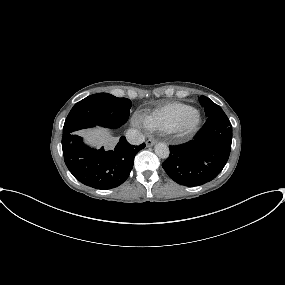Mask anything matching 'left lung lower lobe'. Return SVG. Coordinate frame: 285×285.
I'll return each instance as SVG.
<instances>
[{
	"instance_id": "0a47b994",
	"label": "left lung lower lobe",
	"mask_w": 285,
	"mask_h": 285,
	"mask_svg": "<svg viewBox=\"0 0 285 285\" xmlns=\"http://www.w3.org/2000/svg\"><path fill=\"white\" fill-rule=\"evenodd\" d=\"M232 143V126L226 114L208 117L193 140L169 146L162 163L168 176L184 186H200L213 180L224 168Z\"/></svg>"
}]
</instances>
